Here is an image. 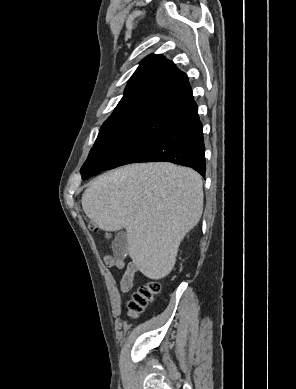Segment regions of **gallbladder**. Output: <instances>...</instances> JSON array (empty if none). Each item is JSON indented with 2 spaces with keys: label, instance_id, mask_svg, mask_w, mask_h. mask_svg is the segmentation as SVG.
Returning <instances> with one entry per match:
<instances>
[{
  "label": "gallbladder",
  "instance_id": "gallbladder-1",
  "mask_svg": "<svg viewBox=\"0 0 296 389\" xmlns=\"http://www.w3.org/2000/svg\"><path fill=\"white\" fill-rule=\"evenodd\" d=\"M113 251L116 257L123 258L127 253V233L119 231L113 240Z\"/></svg>",
  "mask_w": 296,
  "mask_h": 389
}]
</instances>
